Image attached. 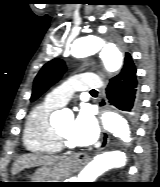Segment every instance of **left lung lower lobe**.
Here are the masks:
<instances>
[{"label": "left lung lower lobe", "mask_w": 160, "mask_h": 187, "mask_svg": "<svg viewBox=\"0 0 160 187\" xmlns=\"http://www.w3.org/2000/svg\"><path fill=\"white\" fill-rule=\"evenodd\" d=\"M105 93L110 104L123 111L128 119H137L141 104L140 92L136 68L130 55L125 57L121 72L110 79Z\"/></svg>", "instance_id": "0a47b994"}]
</instances>
